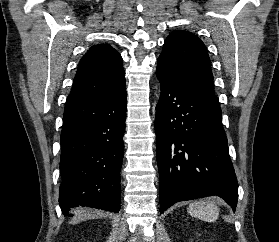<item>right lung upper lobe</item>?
<instances>
[{
	"instance_id": "right-lung-upper-lobe-1",
	"label": "right lung upper lobe",
	"mask_w": 279,
	"mask_h": 242,
	"mask_svg": "<svg viewBox=\"0 0 279 242\" xmlns=\"http://www.w3.org/2000/svg\"><path fill=\"white\" fill-rule=\"evenodd\" d=\"M124 86L120 54L108 44L95 45L80 60L66 105L109 96Z\"/></svg>"
}]
</instances>
